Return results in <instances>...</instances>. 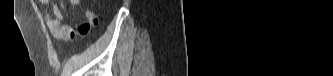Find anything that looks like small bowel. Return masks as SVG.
I'll return each instance as SVG.
<instances>
[{
	"label": "small bowel",
	"mask_w": 333,
	"mask_h": 76,
	"mask_svg": "<svg viewBox=\"0 0 333 76\" xmlns=\"http://www.w3.org/2000/svg\"><path fill=\"white\" fill-rule=\"evenodd\" d=\"M69 2L74 7L81 6V0H70ZM41 3L44 5L43 15L46 19V24L55 38L84 39L90 27L97 23L95 14L91 10H87L85 11V17L89 22L79 25L76 28V32H73L74 27L64 22L61 11L55 1L41 0Z\"/></svg>",
	"instance_id": "obj_1"
}]
</instances>
